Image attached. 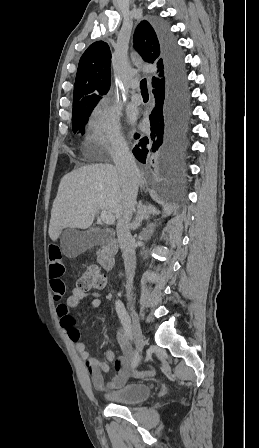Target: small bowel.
<instances>
[{"instance_id":"obj_1","label":"small bowel","mask_w":259,"mask_h":448,"mask_svg":"<svg viewBox=\"0 0 259 448\" xmlns=\"http://www.w3.org/2000/svg\"><path fill=\"white\" fill-rule=\"evenodd\" d=\"M48 263L50 285L54 298L60 300L63 298L66 290L62 278L65 273V266L62 261L61 250L55 242L50 243L48 246ZM82 302H85L91 308H97L100 305V298L97 295L88 296L75 287L73 288L71 295L66 299V302L58 304L56 312L61 328L75 343L76 350L84 361L91 385L95 389L103 391L123 386L131 376L135 378L152 377L155 374V370L152 368L135 371L133 373L129 371L130 359L132 356L134 357V352L127 335L121 329L117 332V341L122 351L120 357L116 358L111 349H108L105 352V361L96 359L91 355L87 350L85 343L80 340V333L75 327L74 319L70 313L71 308L79 306ZM109 363L114 364L115 375L107 382L104 375L110 372Z\"/></svg>"}]
</instances>
